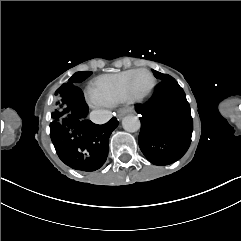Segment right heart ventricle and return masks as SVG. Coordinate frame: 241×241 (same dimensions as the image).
Wrapping results in <instances>:
<instances>
[{
	"mask_svg": "<svg viewBox=\"0 0 241 241\" xmlns=\"http://www.w3.org/2000/svg\"><path fill=\"white\" fill-rule=\"evenodd\" d=\"M132 73L133 71H126L97 77L87 90L88 100L106 106H112L126 100L131 96V94L126 93V79ZM135 78L131 81H134Z\"/></svg>",
	"mask_w": 241,
	"mask_h": 241,
	"instance_id": "1",
	"label": "right heart ventricle"
}]
</instances>
